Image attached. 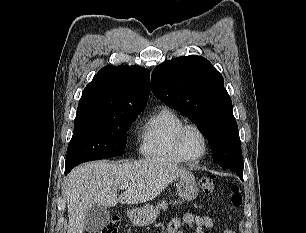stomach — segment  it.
I'll return each instance as SVG.
<instances>
[{"instance_id":"obj_1","label":"stomach","mask_w":306,"mask_h":233,"mask_svg":"<svg viewBox=\"0 0 306 233\" xmlns=\"http://www.w3.org/2000/svg\"><path fill=\"white\" fill-rule=\"evenodd\" d=\"M176 187L182 200H194L198 196L199 187L192 174L180 177ZM159 214L160 209L157 206L145 205L131 211L129 219L136 226H147L152 224Z\"/></svg>"}]
</instances>
